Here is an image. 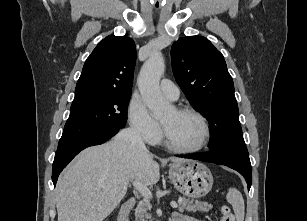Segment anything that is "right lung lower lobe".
I'll list each match as a JSON object with an SVG mask.
<instances>
[{
    "mask_svg": "<svg viewBox=\"0 0 307 221\" xmlns=\"http://www.w3.org/2000/svg\"><path fill=\"white\" fill-rule=\"evenodd\" d=\"M119 129L113 130L107 133H101L93 136H88L68 144L58 146L55 153V158L52 167V181L54 186L56 185L59 174L67 166V164L83 149L99 145L114 136Z\"/></svg>",
    "mask_w": 307,
    "mask_h": 221,
    "instance_id": "98d812e1",
    "label": "right lung lower lobe"
}]
</instances>
